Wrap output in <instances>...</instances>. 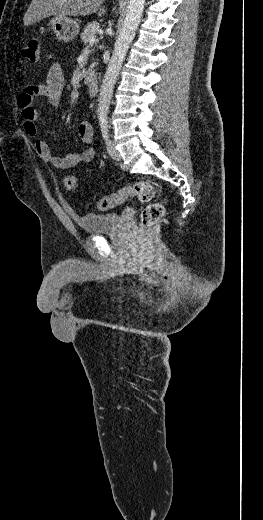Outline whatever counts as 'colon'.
<instances>
[{
	"label": "colon",
	"instance_id": "1",
	"mask_svg": "<svg viewBox=\"0 0 263 520\" xmlns=\"http://www.w3.org/2000/svg\"><path fill=\"white\" fill-rule=\"evenodd\" d=\"M39 53L40 42L37 39L29 40L22 50V56L33 63L39 60ZM62 185L66 191H75L78 186L76 176L72 174L66 175L63 178ZM156 194V188L152 183L140 181L128 185L113 194L101 197L94 203V207L103 211L118 206L129 198H137L145 204L140 215V223L143 228H147L160 221L165 215V208L156 201Z\"/></svg>",
	"mask_w": 263,
	"mask_h": 520
}]
</instances>
